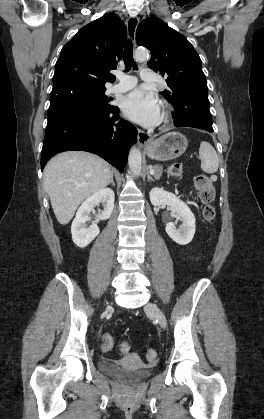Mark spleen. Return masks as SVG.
<instances>
[{
  "instance_id": "1",
  "label": "spleen",
  "mask_w": 264,
  "mask_h": 419,
  "mask_svg": "<svg viewBox=\"0 0 264 419\" xmlns=\"http://www.w3.org/2000/svg\"><path fill=\"white\" fill-rule=\"evenodd\" d=\"M199 158L201 160V169L207 174L217 172L219 159L213 146L206 141L201 142L199 148Z\"/></svg>"
}]
</instances>
